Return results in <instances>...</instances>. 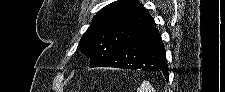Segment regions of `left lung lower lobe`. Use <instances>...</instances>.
I'll return each mask as SVG.
<instances>
[{"label": "left lung lower lobe", "mask_w": 225, "mask_h": 92, "mask_svg": "<svg viewBox=\"0 0 225 92\" xmlns=\"http://www.w3.org/2000/svg\"><path fill=\"white\" fill-rule=\"evenodd\" d=\"M98 67L162 71L169 78L164 45L154 20Z\"/></svg>", "instance_id": "left-lung-lower-lobe-1"}]
</instances>
